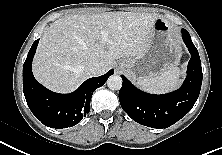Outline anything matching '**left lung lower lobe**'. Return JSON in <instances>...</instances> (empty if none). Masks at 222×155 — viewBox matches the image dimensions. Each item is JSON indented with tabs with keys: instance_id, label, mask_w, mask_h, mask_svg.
<instances>
[{
	"instance_id": "1",
	"label": "left lung lower lobe",
	"mask_w": 222,
	"mask_h": 155,
	"mask_svg": "<svg viewBox=\"0 0 222 155\" xmlns=\"http://www.w3.org/2000/svg\"><path fill=\"white\" fill-rule=\"evenodd\" d=\"M183 41L191 59L183 85L173 92L154 95L137 89L122 75L119 91L122 109L136 122L152 128H167L184 117L194 106L202 85V67L196 47L189 33L182 29Z\"/></svg>"
}]
</instances>
